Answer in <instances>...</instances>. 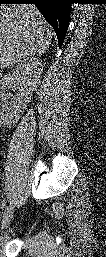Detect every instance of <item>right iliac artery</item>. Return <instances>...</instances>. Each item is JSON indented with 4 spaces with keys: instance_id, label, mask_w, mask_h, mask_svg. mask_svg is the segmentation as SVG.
Returning a JSON list of instances; mask_svg holds the SVG:
<instances>
[{
    "instance_id": "obj_1",
    "label": "right iliac artery",
    "mask_w": 106,
    "mask_h": 257,
    "mask_svg": "<svg viewBox=\"0 0 106 257\" xmlns=\"http://www.w3.org/2000/svg\"><path fill=\"white\" fill-rule=\"evenodd\" d=\"M8 208V204H7V202L4 200L3 201V203H2V207H1V209H2V211H6V209Z\"/></svg>"
}]
</instances>
